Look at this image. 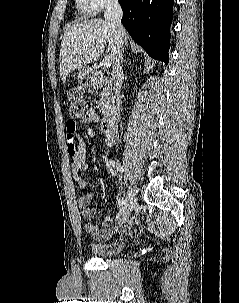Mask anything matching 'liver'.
I'll return each mask as SVG.
<instances>
[{"label":"liver","mask_w":239,"mask_h":303,"mask_svg":"<svg viewBox=\"0 0 239 303\" xmlns=\"http://www.w3.org/2000/svg\"><path fill=\"white\" fill-rule=\"evenodd\" d=\"M107 43L109 58L114 64L117 40L114 28L107 20L93 19L68 26L64 31L60 49L61 80L65 82L74 69L81 68L102 56Z\"/></svg>","instance_id":"obj_1"}]
</instances>
